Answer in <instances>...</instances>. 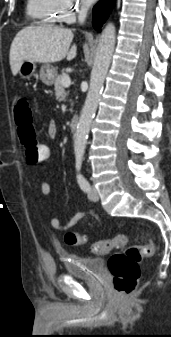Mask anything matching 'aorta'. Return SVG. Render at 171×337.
<instances>
[{
  "instance_id": "1",
  "label": "aorta",
  "mask_w": 171,
  "mask_h": 337,
  "mask_svg": "<svg viewBox=\"0 0 171 337\" xmlns=\"http://www.w3.org/2000/svg\"><path fill=\"white\" fill-rule=\"evenodd\" d=\"M115 37L116 29L114 24H107L99 39L91 71L89 91L75 133L74 153L76 157H82L85 152L90 126L96 113L104 80L111 63Z\"/></svg>"
}]
</instances>
